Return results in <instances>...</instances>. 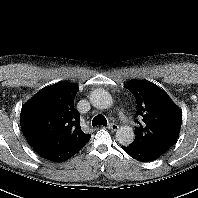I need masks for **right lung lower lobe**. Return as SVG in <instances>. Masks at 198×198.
Wrapping results in <instances>:
<instances>
[{"mask_svg":"<svg viewBox=\"0 0 198 198\" xmlns=\"http://www.w3.org/2000/svg\"><path fill=\"white\" fill-rule=\"evenodd\" d=\"M89 141V140H88ZM79 143L63 149L38 150V154L43 158L54 162H63L74 156L88 142Z\"/></svg>","mask_w":198,"mask_h":198,"instance_id":"right-lung-lower-lobe-1","label":"right lung lower lobe"}]
</instances>
